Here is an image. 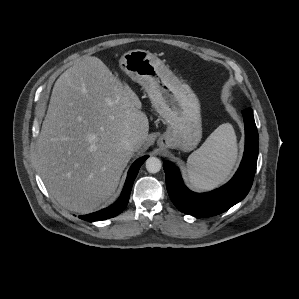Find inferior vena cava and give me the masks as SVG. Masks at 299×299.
Wrapping results in <instances>:
<instances>
[{
  "mask_svg": "<svg viewBox=\"0 0 299 299\" xmlns=\"http://www.w3.org/2000/svg\"><path fill=\"white\" fill-rule=\"evenodd\" d=\"M136 145V140L135 139H128V140H123L121 142V147L126 150V151H134Z\"/></svg>",
  "mask_w": 299,
  "mask_h": 299,
  "instance_id": "1",
  "label": "inferior vena cava"
}]
</instances>
